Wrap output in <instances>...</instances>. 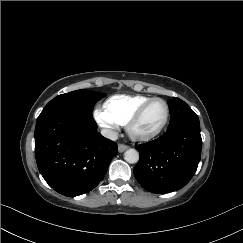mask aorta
Segmentation results:
<instances>
[{
	"label": "aorta",
	"mask_w": 243,
	"mask_h": 243,
	"mask_svg": "<svg viewBox=\"0 0 243 243\" xmlns=\"http://www.w3.org/2000/svg\"><path fill=\"white\" fill-rule=\"evenodd\" d=\"M124 159L130 164L137 163L139 160V153L135 149H128L124 153Z\"/></svg>",
	"instance_id": "762f6f07"
}]
</instances>
